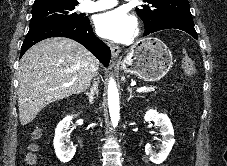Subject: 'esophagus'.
I'll list each match as a JSON object with an SVG mask.
<instances>
[{"mask_svg": "<svg viewBox=\"0 0 227 166\" xmlns=\"http://www.w3.org/2000/svg\"><path fill=\"white\" fill-rule=\"evenodd\" d=\"M110 50H111L112 58H114V59H116L121 52V48L116 45H110Z\"/></svg>", "mask_w": 227, "mask_h": 166, "instance_id": "34e87169", "label": "esophagus"}]
</instances>
